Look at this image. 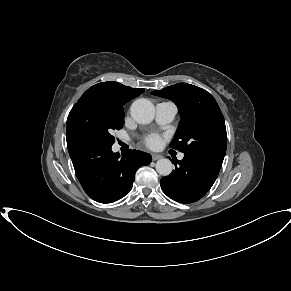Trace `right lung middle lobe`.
<instances>
[{
  "label": "right lung middle lobe",
  "instance_id": "dd1d6c3e",
  "mask_svg": "<svg viewBox=\"0 0 291 291\" xmlns=\"http://www.w3.org/2000/svg\"><path fill=\"white\" fill-rule=\"evenodd\" d=\"M124 125L122 107L93 97H81L67 118V136H83L112 146L114 130Z\"/></svg>",
  "mask_w": 291,
  "mask_h": 291
}]
</instances>
